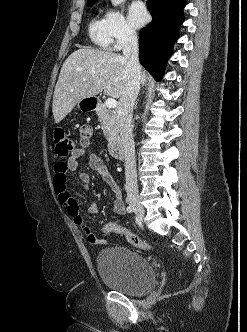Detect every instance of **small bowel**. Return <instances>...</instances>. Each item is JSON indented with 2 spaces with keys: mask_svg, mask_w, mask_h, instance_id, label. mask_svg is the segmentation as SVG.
<instances>
[{
  "mask_svg": "<svg viewBox=\"0 0 247 332\" xmlns=\"http://www.w3.org/2000/svg\"><path fill=\"white\" fill-rule=\"evenodd\" d=\"M92 129L89 126H82L80 128V147L74 151V153L68 157L66 161H59L54 166V190L58 196L60 203L65 207L69 216L73 219L74 223L80 227L86 236L89 243L94 245L104 244L105 240L97 237L88 226L85 218L79 212L77 201L72 197L67 188V176L69 173L77 172L78 162L81 157L86 156L89 161V165L103 181L108 184L114 195L113 211L117 215L125 214V204L122 198L121 189L117 181L110 174L103 159L95 154L90 148V137ZM78 179L82 183L84 188H87L90 182V176L86 172H77ZM98 206L96 203H91L88 208V213L91 215L96 214Z\"/></svg>",
  "mask_w": 247,
  "mask_h": 332,
  "instance_id": "1",
  "label": "small bowel"
}]
</instances>
